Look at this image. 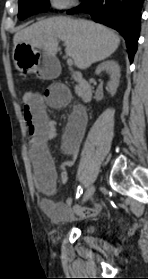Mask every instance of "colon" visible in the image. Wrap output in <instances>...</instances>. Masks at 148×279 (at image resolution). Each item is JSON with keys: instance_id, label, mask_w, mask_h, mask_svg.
<instances>
[{"instance_id": "obj_1", "label": "colon", "mask_w": 148, "mask_h": 279, "mask_svg": "<svg viewBox=\"0 0 148 279\" xmlns=\"http://www.w3.org/2000/svg\"><path fill=\"white\" fill-rule=\"evenodd\" d=\"M34 98H35V94L31 91L26 90L22 93V100L25 104L32 102Z\"/></svg>"}]
</instances>
